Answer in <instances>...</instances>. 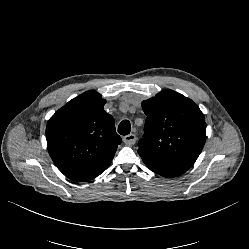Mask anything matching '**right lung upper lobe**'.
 Segmentation results:
<instances>
[{
	"label": "right lung upper lobe",
	"instance_id": "right-lung-upper-lobe-1",
	"mask_svg": "<svg viewBox=\"0 0 249 249\" xmlns=\"http://www.w3.org/2000/svg\"><path fill=\"white\" fill-rule=\"evenodd\" d=\"M93 90L69 101L48 121V152L58 169L75 181H89L110 165L121 137Z\"/></svg>",
	"mask_w": 249,
	"mask_h": 249
}]
</instances>
